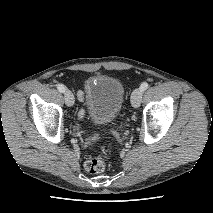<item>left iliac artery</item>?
<instances>
[{
    "label": "left iliac artery",
    "instance_id": "obj_1",
    "mask_svg": "<svg viewBox=\"0 0 213 213\" xmlns=\"http://www.w3.org/2000/svg\"><path fill=\"white\" fill-rule=\"evenodd\" d=\"M148 83L147 82H143L142 84H141V86H140V89L142 90V91H145L147 88H148Z\"/></svg>",
    "mask_w": 213,
    "mask_h": 213
}]
</instances>
